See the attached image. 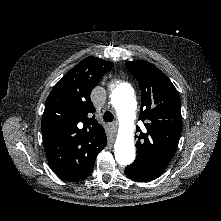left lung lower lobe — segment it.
Instances as JSON below:
<instances>
[{
    "label": "left lung lower lobe",
    "mask_w": 221,
    "mask_h": 221,
    "mask_svg": "<svg viewBox=\"0 0 221 221\" xmlns=\"http://www.w3.org/2000/svg\"><path fill=\"white\" fill-rule=\"evenodd\" d=\"M164 171L162 170H158V171H140V170H136L132 167L127 166L125 168V175L134 180V181H139V182H146V181H150L153 179H156L157 177H159Z\"/></svg>",
    "instance_id": "obj_1"
}]
</instances>
